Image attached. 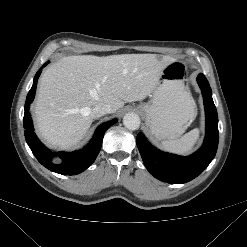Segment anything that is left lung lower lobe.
<instances>
[{"mask_svg":"<svg viewBox=\"0 0 247 247\" xmlns=\"http://www.w3.org/2000/svg\"><path fill=\"white\" fill-rule=\"evenodd\" d=\"M197 82L201 88L206 114V136L202 147L194 154L182 157L162 152L148 143L142 133L137 135V146L147 170L157 179L181 184L201 174L213 160L218 147V116L210 85L203 74Z\"/></svg>","mask_w":247,"mask_h":247,"instance_id":"1","label":"left lung lower lobe"}]
</instances>
